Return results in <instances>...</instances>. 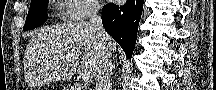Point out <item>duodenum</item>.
<instances>
[{
    "mask_svg": "<svg viewBox=\"0 0 216 90\" xmlns=\"http://www.w3.org/2000/svg\"><path fill=\"white\" fill-rule=\"evenodd\" d=\"M69 90H88L87 87H70Z\"/></svg>",
    "mask_w": 216,
    "mask_h": 90,
    "instance_id": "obj_1",
    "label": "duodenum"
}]
</instances>
